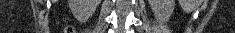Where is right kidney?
<instances>
[{
    "instance_id": "right-kidney-1",
    "label": "right kidney",
    "mask_w": 235,
    "mask_h": 33,
    "mask_svg": "<svg viewBox=\"0 0 235 33\" xmlns=\"http://www.w3.org/2000/svg\"><path fill=\"white\" fill-rule=\"evenodd\" d=\"M100 0H69V7L77 18H89L95 12Z\"/></svg>"
}]
</instances>
